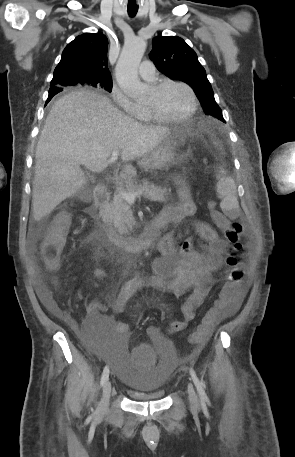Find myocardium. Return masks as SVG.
<instances>
[{
	"instance_id": "obj_1",
	"label": "myocardium",
	"mask_w": 295,
	"mask_h": 457,
	"mask_svg": "<svg viewBox=\"0 0 295 457\" xmlns=\"http://www.w3.org/2000/svg\"><path fill=\"white\" fill-rule=\"evenodd\" d=\"M168 85L181 86L188 91V93L191 97L190 109L184 115H181L179 117H165V116L161 115L155 107H153L151 105H145L147 112L155 121L161 122V123H179V122L188 120L196 113V111L198 109V98H197L195 91L187 83L178 81V80H172V79H161L160 81L153 84L152 89H154L155 91L158 92Z\"/></svg>"
}]
</instances>
